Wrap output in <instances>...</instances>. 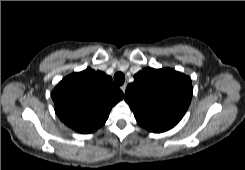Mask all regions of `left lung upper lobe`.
<instances>
[{"label":"left lung upper lobe","mask_w":245,"mask_h":170,"mask_svg":"<svg viewBox=\"0 0 245 170\" xmlns=\"http://www.w3.org/2000/svg\"><path fill=\"white\" fill-rule=\"evenodd\" d=\"M191 98L190 77L170 68L139 71L125 92V101L137 123L155 133L173 128L184 116Z\"/></svg>","instance_id":"left-lung-upper-lobe-1"}]
</instances>
